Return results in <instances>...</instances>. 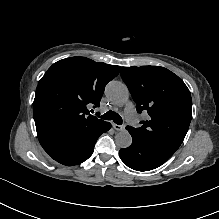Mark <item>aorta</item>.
<instances>
[{"instance_id": "obj_1", "label": "aorta", "mask_w": 219, "mask_h": 219, "mask_svg": "<svg viewBox=\"0 0 219 219\" xmlns=\"http://www.w3.org/2000/svg\"><path fill=\"white\" fill-rule=\"evenodd\" d=\"M105 95L113 102L124 104L129 98L127 86L120 81H111L107 84ZM116 145L120 148H127L132 144V136L126 130L120 131L115 136Z\"/></svg>"}]
</instances>
